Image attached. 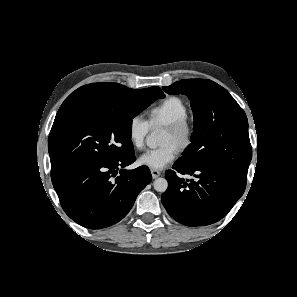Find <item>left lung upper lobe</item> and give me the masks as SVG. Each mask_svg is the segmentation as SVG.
<instances>
[{
  "mask_svg": "<svg viewBox=\"0 0 297 297\" xmlns=\"http://www.w3.org/2000/svg\"><path fill=\"white\" fill-rule=\"evenodd\" d=\"M163 90L187 95L194 114L191 144L176 163L220 167L247 177L252 158L248 121L229 92L205 79H184Z\"/></svg>",
  "mask_w": 297,
  "mask_h": 297,
  "instance_id": "left-lung-upper-lobe-1",
  "label": "left lung upper lobe"
}]
</instances>
